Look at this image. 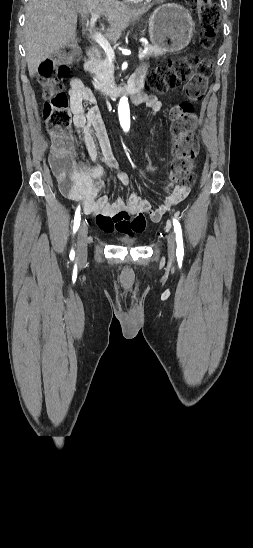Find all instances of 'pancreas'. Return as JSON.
Here are the masks:
<instances>
[{"mask_svg":"<svg viewBox=\"0 0 253 548\" xmlns=\"http://www.w3.org/2000/svg\"><path fill=\"white\" fill-rule=\"evenodd\" d=\"M144 47L146 52L143 59L158 57L164 53L162 48L157 46L144 45ZM140 51L142 50L140 49ZM84 68L94 75L93 85L98 90L106 89L107 84H110L113 81L114 64L107 56H100L96 59L88 61Z\"/></svg>","mask_w":253,"mask_h":548,"instance_id":"pancreas-1","label":"pancreas"}]
</instances>
